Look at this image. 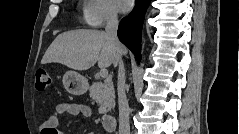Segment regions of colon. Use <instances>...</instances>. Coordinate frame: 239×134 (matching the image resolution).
Masks as SVG:
<instances>
[{
  "label": "colon",
  "mask_w": 239,
  "mask_h": 134,
  "mask_svg": "<svg viewBox=\"0 0 239 134\" xmlns=\"http://www.w3.org/2000/svg\"><path fill=\"white\" fill-rule=\"evenodd\" d=\"M52 85V78L45 70L36 73V89L40 92L48 90Z\"/></svg>",
  "instance_id": "5ec220e1"
}]
</instances>
